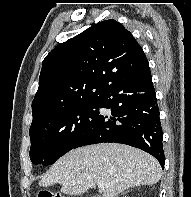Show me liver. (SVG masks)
Wrapping results in <instances>:
<instances>
[{
    "mask_svg": "<svg viewBox=\"0 0 191 197\" xmlns=\"http://www.w3.org/2000/svg\"><path fill=\"white\" fill-rule=\"evenodd\" d=\"M162 169L150 154L118 143H100L73 149L56 161L38 182L41 187L61 185V192L81 195L99 182L102 196L117 197L128 188L156 184Z\"/></svg>",
    "mask_w": 191,
    "mask_h": 197,
    "instance_id": "obj_1",
    "label": "liver"
}]
</instances>
